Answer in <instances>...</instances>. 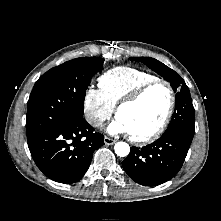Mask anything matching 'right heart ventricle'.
<instances>
[{
	"instance_id": "e07e8e85",
	"label": "right heart ventricle",
	"mask_w": 221,
	"mask_h": 221,
	"mask_svg": "<svg viewBox=\"0 0 221 221\" xmlns=\"http://www.w3.org/2000/svg\"><path fill=\"white\" fill-rule=\"evenodd\" d=\"M157 79L154 75L129 66H118L104 72L98 86L106 101L115 107L141 85Z\"/></svg>"
}]
</instances>
